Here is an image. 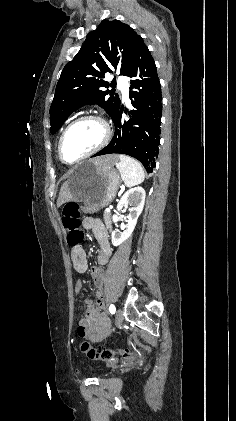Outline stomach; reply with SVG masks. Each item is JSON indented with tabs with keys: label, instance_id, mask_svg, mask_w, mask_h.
<instances>
[{
	"label": "stomach",
	"instance_id": "1",
	"mask_svg": "<svg viewBox=\"0 0 236 421\" xmlns=\"http://www.w3.org/2000/svg\"><path fill=\"white\" fill-rule=\"evenodd\" d=\"M69 182L73 200L84 202L83 213H96L115 198L121 178L113 166H100L86 158L73 166Z\"/></svg>",
	"mask_w": 236,
	"mask_h": 421
}]
</instances>
